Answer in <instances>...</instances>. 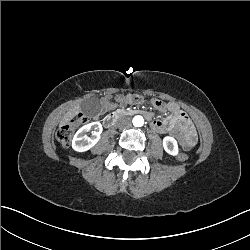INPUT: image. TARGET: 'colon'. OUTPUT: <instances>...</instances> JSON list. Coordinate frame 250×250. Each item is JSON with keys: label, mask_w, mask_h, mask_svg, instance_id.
<instances>
[{"label": "colon", "mask_w": 250, "mask_h": 250, "mask_svg": "<svg viewBox=\"0 0 250 250\" xmlns=\"http://www.w3.org/2000/svg\"><path fill=\"white\" fill-rule=\"evenodd\" d=\"M130 98L133 103H140L143 101V96L136 93H130ZM153 105H166V100H153ZM97 106L95 104H91L87 107V113L81 112L78 114L75 119H71L66 123L62 124L56 131V139L61 143V148L64 151H69L72 148L71 139L72 136L76 133L78 127L86 125L93 121L92 114L96 111ZM195 142V138H191L188 142L189 145H193ZM176 159L188 162L189 156L187 153H179L176 155Z\"/></svg>", "instance_id": "1"}]
</instances>
